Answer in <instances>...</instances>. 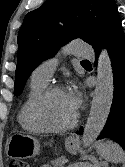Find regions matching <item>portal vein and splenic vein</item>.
Returning <instances> with one entry per match:
<instances>
[{"label": "portal vein and splenic vein", "mask_w": 125, "mask_h": 167, "mask_svg": "<svg viewBox=\"0 0 125 167\" xmlns=\"http://www.w3.org/2000/svg\"><path fill=\"white\" fill-rule=\"evenodd\" d=\"M68 160L64 159L62 163H66ZM68 167H73V165H69Z\"/></svg>", "instance_id": "obj_1"}]
</instances>
